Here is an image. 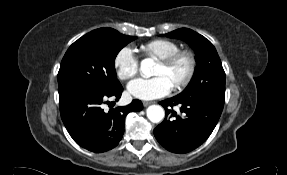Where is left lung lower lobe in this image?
Listing matches in <instances>:
<instances>
[{"label":"left lung lower lobe","instance_id":"0a47b994","mask_svg":"<svg viewBox=\"0 0 287 175\" xmlns=\"http://www.w3.org/2000/svg\"><path fill=\"white\" fill-rule=\"evenodd\" d=\"M160 104L166 118L154 129L157 141L168 151L187 153L202 143L212 133L223 110V104L201 96H175ZM180 106V114L170 110Z\"/></svg>","mask_w":287,"mask_h":175}]
</instances>
